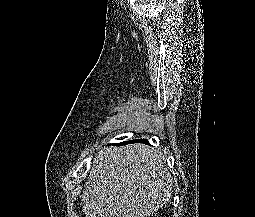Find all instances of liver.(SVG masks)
<instances>
[{"label":"liver","mask_w":255,"mask_h":217,"mask_svg":"<svg viewBox=\"0 0 255 217\" xmlns=\"http://www.w3.org/2000/svg\"><path fill=\"white\" fill-rule=\"evenodd\" d=\"M166 154L142 144L111 147L94 159L81 195L86 217H148L171 197Z\"/></svg>","instance_id":"obj_1"}]
</instances>
